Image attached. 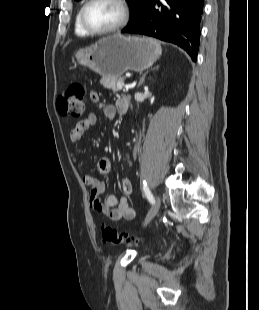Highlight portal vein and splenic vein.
<instances>
[{
  "label": "portal vein and splenic vein",
  "mask_w": 259,
  "mask_h": 310,
  "mask_svg": "<svg viewBox=\"0 0 259 310\" xmlns=\"http://www.w3.org/2000/svg\"><path fill=\"white\" fill-rule=\"evenodd\" d=\"M125 86L124 82H118L116 84L117 89H122Z\"/></svg>",
  "instance_id": "obj_1"
}]
</instances>
